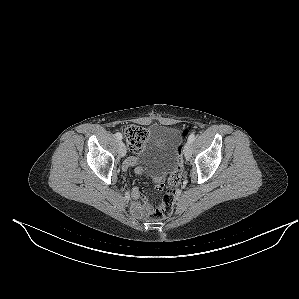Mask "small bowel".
<instances>
[{
	"instance_id": "1",
	"label": "small bowel",
	"mask_w": 299,
	"mask_h": 299,
	"mask_svg": "<svg viewBox=\"0 0 299 299\" xmlns=\"http://www.w3.org/2000/svg\"><path fill=\"white\" fill-rule=\"evenodd\" d=\"M137 164V159L135 157H130L124 164V170L128 169L130 166ZM136 173H142L140 168L136 169ZM133 203L131 206L132 211L139 217H146L150 214L151 206L150 204L144 202L141 198V193L138 188H133L132 190Z\"/></svg>"
}]
</instances>
